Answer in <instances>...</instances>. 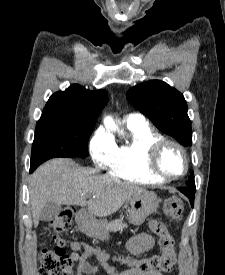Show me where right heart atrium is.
<instances>
[{"label":"right heart atrium","mask_w":225,"mask_h":275,"mask_svg":"<svg viewBox=\"0 0 225 275\" xmlns=\"http://www.w3.org/2000/svg\"><path fill=\"white\" fill-rule=\"evenodd\" d=\"M116 150L113 138L103 130H97L89 142V152L92 161L99 168L106 167Z\"/></svg>","instance_id":"obj_1"}]
</instances>
